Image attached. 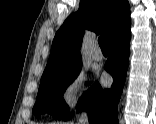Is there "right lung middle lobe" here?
<instances>
[{"mask_svg":"<svg viewBox=\"0 0 156 124\" xmlns=\"http://www.w3.org/2000/svg\"><path fill=\"white\" fill-rule=\"evenodd\" d=\"M80 69L81 64L62 73L42 78L33 114L40 116L48 113L59 119L64 118L69 113V107L63 99V94L78 76Z\"/></svg>","mask_w":156,"mask_h":124,"instance_id":"right-lung-middle-lobe-1","label":"right lung middle lobe"}]
</instances>
